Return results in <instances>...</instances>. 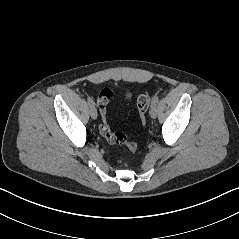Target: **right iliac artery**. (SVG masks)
<instances>
[{"label":"right iliac artery","mask_w":239,"mask_h":239,"mask_svg":"<svg viewBox=\"0 0 239 239\" xmlns=\"http://www.w3.org/2000/svg\"><path fill=\"white\" fill-rule=\"evenodd\" d=\"M87 101H88L90 106H94V101H93V99L91 97H88Z\"/></svg>","instance_id":"obj_1"}]
</instances>
